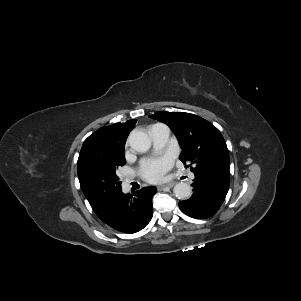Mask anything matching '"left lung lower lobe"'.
Wrapping results in <instances>:
<instances>
[{"instance_id": "0a47b994", "label": "left lung lower lobe", "mask_w": 301, "mask_h": 301, "mask_svg": "<svg viewBox=\"0 0 301 301\" xmlns=\"http://www.w3.org/2000/svg\"><path fill=\"white\" fill-rule=\"evenodd\" d=\"M194 194L179 207L190 217L205 219L213 216L222 205L229 189V183L207 175L195 174Z\"/></svg>"}]
</instances>
